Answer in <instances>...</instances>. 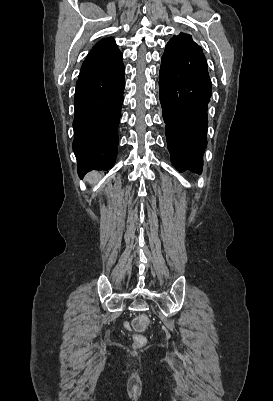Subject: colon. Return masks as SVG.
<instances>
[{"label":"colon","instance_id":"colon-1","mask_svg":"<svg viewBox=\"0 0 273 401\" xmlns=\"http://www.w3.org/2000/svg\"><path fill=\"white\" fill-rule=\"evenodd\" d=\"M144 318L145 315L141 314L140 319H137L133 324L134 331L140 334H137L135 339L129 343V350L131 353H142L149 344V339L145 336V334H143L146 331V326L148 325V321Z\"/></svg>","mask_w":273,"mask_h":401}]
</instances>
